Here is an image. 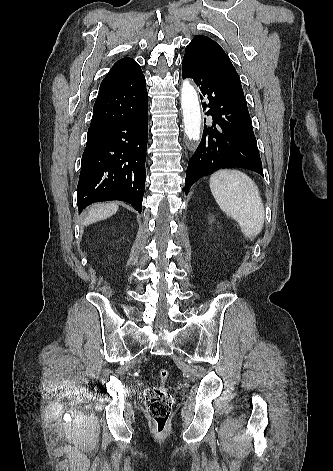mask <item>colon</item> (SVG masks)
Wrapping results in <instances>:
<instances>
[{
  "label": "colon",
  "instance_id": "colon-1",
  "mask_svg": "<svg viewBox=\"0 0 333 471\" xmlns=\"http://www.w3.org/2000/svg\"><path fill=\"white\" fill-rule=\"evenodd\" d=\"M168 377V369H160L157 374L158 384L145 392V404L149 416L154 429L160 434L165 432L172 411V396L165 388Z\"/></svg>",
  "mask_w": 333,
  "mask_h": 471
}]
</instances>
